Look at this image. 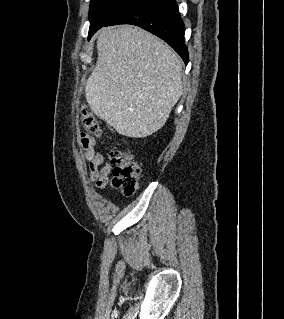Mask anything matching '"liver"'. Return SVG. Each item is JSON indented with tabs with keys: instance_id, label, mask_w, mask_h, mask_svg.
Returning a JSON list of instances; mask_svg holds the SVG:
<instances>
[{
	"instance_id": "1",
	"label": "liver",
	"mask_w": 284,
	"mask_h": 319,
	"mask_svg": "<svg viewBox=\"0 0 284 319\" xmlns=\"http://www.w3.org/2000/svg\"><path fill=\"white\" fill-rule=\"evenodd\" d=\"M85 96L92 112L122 135L145 138L164 126L182 93V61L155 35L103 27Z\"/></svg>"
}]
</instances>
